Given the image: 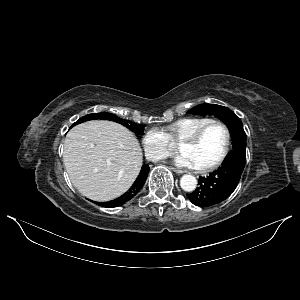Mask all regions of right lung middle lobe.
<instances>
[{
	"label": "right lung middle lobe",
	"mask_w": 300,
	"mask_h": 300,
	"mask_svg": "<svg viewBox=\"0 0 300 300\" xmlns=\"http://www.w3.org/2000/svg\"><path fill=\"white\" fill-rule=\"evenodd\" d=\"M92 119H105V120L115 121V122H118V123L124 125L128 129H130L132 131H136V132H142L143 128H144L142 124H136V123H132L131 121H128V120L120 119L117 116H115L114 114H110V113L88 114V115L80 118L78 121H76L71 127L75 126L76 124H79V123H82V122H85L88 120H92Z\"/></svg>",
	"instance_id": "obj_1"
}]
</instances>
